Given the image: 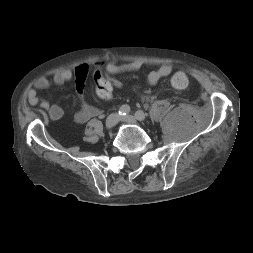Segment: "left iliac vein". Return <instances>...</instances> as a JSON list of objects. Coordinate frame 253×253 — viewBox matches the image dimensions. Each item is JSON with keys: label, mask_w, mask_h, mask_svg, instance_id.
Masks as SVG:
<instances>
[{"label": "left iliac vein", "mask_w": 253, "mask_h": 253, "mask_svg": "<svg viewBox=\"0 0 253 253\" xmlns=\"http://www.w3.org/2000/svg\"><path fill=\"white\" fill-rule=\"evenodd\" d=\"M121 120L126 123L137 124L136 118L132 115H127V116L121 117Z\"/></svg>", "instance_id": "1"}]
</instances>
